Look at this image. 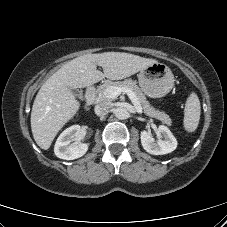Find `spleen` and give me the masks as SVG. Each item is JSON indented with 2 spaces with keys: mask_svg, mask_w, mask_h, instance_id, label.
Here are the masks:
<instances>
[{
  "mask_svg": "<svg viewBox=\"0 0 227 227\" xmlns=\"http://www.w3.org/2000/svg\"><path fill=\"white\" fill-rule=\"evenodd\" d=\"M200 101L195 92H192L187 98L184 111V128L188 132H194L200 120Z\"/></svg>",
  "mask_w": 227,
  "mask_h": 227,
  "instance_id": "3e777b00",
  "label": "spleen"
}]
</instances>
